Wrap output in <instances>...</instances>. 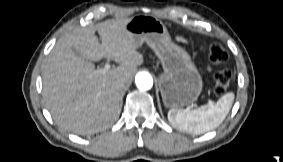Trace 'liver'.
<instances>
[{
	"label": "liver",
	"mask_w": 283,
	"mask_h": 162,
	"mask_svg": "<svg viewBox=\"0 0 283 162\" xmlns=\"http://www.w3.org/2000/svg\"><path fill=\"white\" fill-rule=\"evenodd\" d=\"M128 20L109 19L75 28L60 37L48 54L42 66L43 99L62 129L90 135L116 121L124 88L117 85V80L123 78L129 85L136 68L144 62L132 35L124 30ZM102 58L119 66L104 75L96 73L92 61Z\"/></svg>",
	"instance_id": "liver-1"
}]
</instances>
